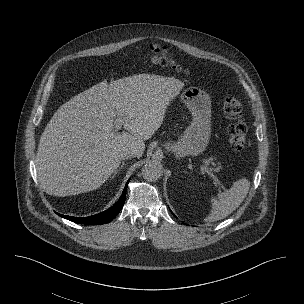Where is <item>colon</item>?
<instances>
[{
	"mask_svg": "<svg viewBox=\"0 0 304 304\" xmlns=\"http://www.w3.org/2000/svg\"><path fill=\"white\" fill-rule=\"evenodd\" d=\"M145 60L151 64L186 72L168 50L160 45H151L146 53ZM223 112L230 121L227 128L229 144L233 150L241 151L245 148L247 142V126L242 118L240 100L235 96L226 97L223 103Z\"/></svg>",
	"mask_w": 304,
	"mask_h": 304,
	"instance_id": "1",
	"label": "colon"
}]
</instances>
